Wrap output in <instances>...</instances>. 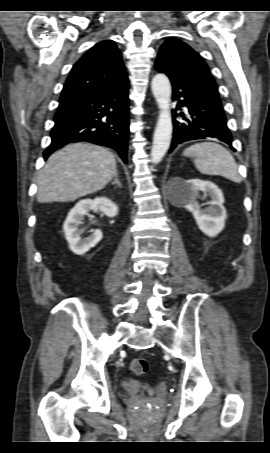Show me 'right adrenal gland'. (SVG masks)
<instances>
[{
  "label": "right adrenal gland",
  "mask_w": 270,
  "mask_h": 453,
  "mask_svg": "<svg viewBox=\"0 0 270 453\" xmlns=\"http://www.w3.org/2000/svg\"><path fill=\"white\" fill-rule=\"evenodd\" d=\"M112 185H117L119 188H122L121 182L119 181L118 178V170H116L114 174V180L111 182Z\"/></svg>",
  "instance_id": "1"
}]
</instances>
